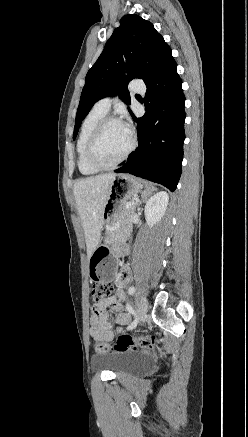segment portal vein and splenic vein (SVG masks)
Wrapping results in <instances>:
<instances>
[{
  "label": "portal vein and splenic vein",
  "instance_id": "18ae733b",
  "mask_svg": "<svg viewBox=\"0 0 248 437\" xmlns=\"http://www.w3.org/2000/svg\"><path fill=\"white\" fill-rule=\"evenodd\" d=\"M133 205H134V204L131 203V202H128V203L126 204L127 207H131V206H133Z\"/></svg>",
  "mask_w": 248,
  "mask_h": 437
}]
</instances>
